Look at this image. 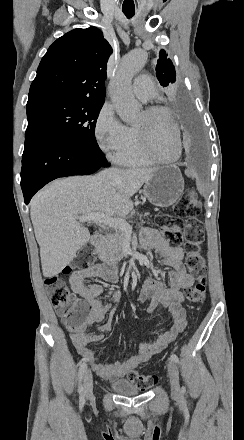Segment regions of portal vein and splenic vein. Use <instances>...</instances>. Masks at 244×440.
Wrapping results in <instances>:
<instances>
[{
    "label": "portal vein and splenic vein",
    "instance_id": "obj_1",
    "mask_svg": "<svg viewBox=\"0 0 244 440\" xmlns=\"http://www.w3.org/2000/svg\"><path fill=\"white\" fill-rule=\"evenodd\" d=\"M77 220L79 222H94V224H105V226H109V228H115V230H122V232H132V228L130 224H127L124 218H109V216H105V214H101V212H97V214H84V216H77Z\"/></svg>",
    "mask_w": 244,
    "mask_h": 440
}]
</instances>
